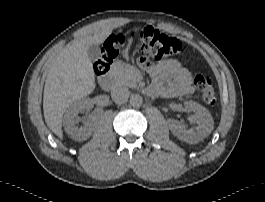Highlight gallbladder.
<instances>
[{
    "mask_svg": "<svg viewBox=\"0 0 265 202\" xmlns=\"http://www.w3.org/2000/svg\"><path fill=\"white\" fill-rule=\"evenodd\" d=\"M87 54L92 62L97 61L100 58V48L97 44H91L87 49Z\"/></svg>",
    "mask_w": 265,
    "mask_h": 202,
    "instance_id": "1",
    "label": "gallbladder"
}]
</instances>
